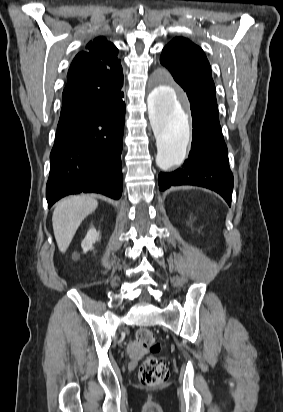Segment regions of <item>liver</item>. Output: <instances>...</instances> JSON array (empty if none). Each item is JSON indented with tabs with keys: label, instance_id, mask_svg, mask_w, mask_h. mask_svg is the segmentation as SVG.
I'll return each mask as SVG.
<instances>
[{
	"label": "liver",
	"instance_id": "6515ba94",
	"mask_svg": "<svg viewBox=\"0 0 283 412\" xmlns=\"http://www.w3.org/2000/svg\"><path fill=\"white\" fill-rule=\"evenodd\" d=\"M98 206L91 196H71L60 201L53 212L52 225L59 250L64 253L69 247L82 221Z\"/></svg>",
	"mask_w": 283,
	"mask_h": 412
}]
</instances>
